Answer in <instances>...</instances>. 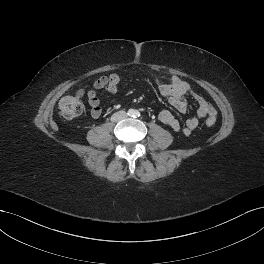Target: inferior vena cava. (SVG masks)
I'll use <instances>...</instances> for the list:
<instances>
[{"label":"inferior vena cava","instance_id":"obj_1","mask_svg":"<svg viewBox=\"0 0 264 264\" xmlns=\"http://www.w3.org/2000/svg\"><path fill=\"white\" fill-rule=\"evenodd\" d=\"M127 117V114L125 111H119L117 113H115L113 116H112V121H120V120H123Z\"/></svg>","mask_w":264,"mask_h":264}]
</instances>
